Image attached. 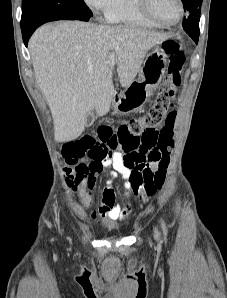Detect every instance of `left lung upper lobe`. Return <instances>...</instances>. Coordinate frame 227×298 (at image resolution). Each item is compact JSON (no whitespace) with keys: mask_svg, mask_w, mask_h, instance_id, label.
<instances>
[{"mask_svg":"<svg viewBox=\"0 0 227 298\" xmlns=\"http://www.w3.org/2000/svg\"><path fill=\"white\" fill-rule=\"evenodd\" d=\"M184 10L189 13L187 18H184L182 26L185 32L195 41L199 37V21L200 9L202 0H181Z\"/></svg>","mask_w":227,"mask_h":298,"instance_id":"left-lung-upper-lobe-1","label":"left lung upper lobe"}]
</instances>
